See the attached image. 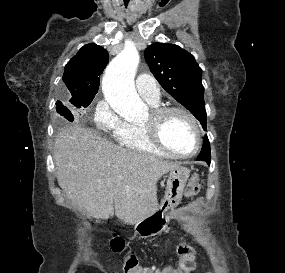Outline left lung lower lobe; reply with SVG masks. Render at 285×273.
I'll return each mask as SVG.
<instances>
[{"mask_svg":"<svg viewBox=\"0 0 285 273\" xmlns=\"http://www.w3.org/2000/svg\"><path fill=\"white\" fill-rule=\"evenodd\" d=\"M197 160H204L208 164H210L211 161V155H210V145L207 137L205 138L204 145L202 147V150L197 158Z\"/></svg>","mask_w":285,"mask_h":273,"instance_id":"0a47b994","label":"left lung lower lobe"}]
</instances>
